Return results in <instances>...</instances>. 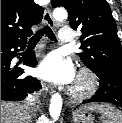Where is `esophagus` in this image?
Instances as JSON below:
<instances>
[{
  "label": "esophagus",
  "mask_w": 122,
  "mask_h": 123,
  "mask_svg": "<svg viewBox=\"0 0 122 123\" xmlns=\"http://www.w3.org/2000/svg\"><path fill=\"white\" fill-rule=\"evenodd\" d=\"M43 23L50 27L54 26L55 24L52 18L51 10L49 8L45 10V13L43 16ZM42 87H43V90H45L46 92H51V93L54 92L53 86L49 83H42Z\"/></svg>",
  "instance_id": "obj_1"
}]
</instances>
